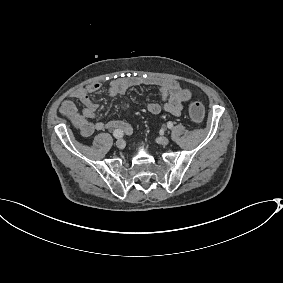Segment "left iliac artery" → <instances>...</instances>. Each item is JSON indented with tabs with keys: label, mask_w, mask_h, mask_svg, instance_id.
Returning a JSON list of instances; mask_svg holds the SVG:
<instances>
[{
	"label": "left iliac artery",
	"mask_w": 283,
	"mask_h": 283,
	"mask_svg": "<svg viewBox=\"0 0 283 283\" xmlns=\"http://www.w3.org/2000/svg\"><path fill=\"white\" fill-rule=\"evenodd\" d=\"M167 127H168L169 129H172L173 123L169 121V122L167 123Z\"/></svg>",
	"instance_id": "44dca946"
}]
</instances>
